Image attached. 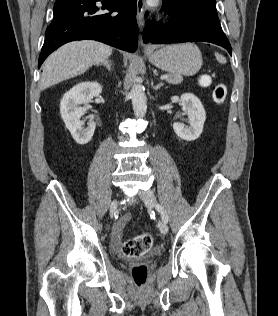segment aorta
Returning a JSON list of instances; mask_svg holds the SVG:
<instances>
[{
  "mask_svg": "<svg viewBox=\"0 0 278 316\" xmlns=\"http://www.w3.org/2000/svg\"><path fill=\"white\" fill-rule=\"evenodd\" d=\"M133 110L136 116L144 117L147 112V98L140 83H134L131 92Z\"/></svg>",
  "mask_w": 278,
  "mask_h": 316,
  "instance_id": "762f6f07",
  "label": "aorta"
}]
</instances>
